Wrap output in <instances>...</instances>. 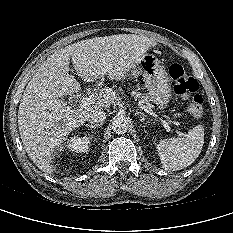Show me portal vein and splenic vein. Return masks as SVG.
<instances>
[{
    "label": "portal vein and splenic vein",
    "instance_id": "18ae733b",
    "mask_svg": "<svg viewBox=\"0 0 233 233\" xmlns=\"http://www.w3.org/2000/svg\"><path fill=\"white\" fill-rule=\"evenodd\" d=\"M95 99L92 96L89 97H84L81 101H80V107L81 108H87L89 106H91L92 104H94ZM138 106L144 110L145 112L149 113L150 115L157 117V115L149 108H147L145 105H143L142 103H138ZM160 121L162 122L163 126L165 127L167 132H173L172 128L170 127V123L163 119L160 118ZM173 124L178 125V122H173ZM176 134H178L179 136H183L184 134L180 131H175Z\"/></svg>",
    "mask_w": 233,
    "mask_h": 233
}]
</instances>
